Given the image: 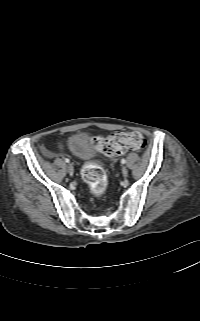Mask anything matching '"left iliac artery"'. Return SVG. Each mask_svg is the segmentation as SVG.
I'll return each instance as SVG.
<instances>
[{
  "label": "left iliac artery",
  "mask_w": 200,
  "mask_h": 321,
  "mask_svg": "<svg viewBox=\"0 0 200 321\" xmlns=\"http://www.w3.org/2000/svg\"><path fill=\"white\" fill-rule=\"evenodd\" d=\"M121 163H122V164H125V163H126V160H125V159H122V160H121Z\"/></svg>",
  "instance_id": "1"
}]
</instances>
